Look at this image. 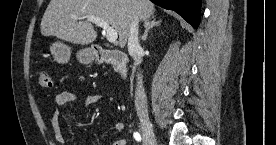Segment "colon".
I'll list each match as a JSON object with an SVG mask.
<instances>
[{
    "instance_id": "obj_1",
    "label": "colon",
    "mask_w": 276,
    "mask_h": 145,
    "mask_svg": "<svg viewBox=\"0 0 276 145\" xmlns=\"http://www.w3.org/2000/svg\"><path fill=\"white\" fill-rule=\"evenodd\" d=\"M37 84L41 88H52L53 78L48 70H40L37 76Z\"/></svg>"
}]
</instances>
